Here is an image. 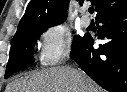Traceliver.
<instances>
[{
    "mask_svg": "<svg viewBox=\"0 0 127 92\" xmlns=\"http://www.w3.org/2000/svg\"><path fill=\"white\" fill-rule=\"evenodd\" d=\"M5 92H104L83 71L52 67L16 79Z\"/></svg>",
    "mask_w": 127,
    "mask_h": 92,
    "instance_id": "obj_1",
    "label": "liver"
}]
</instances>
